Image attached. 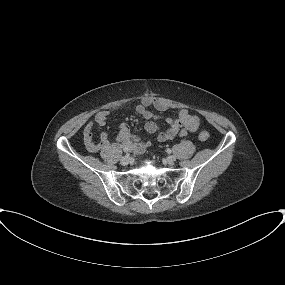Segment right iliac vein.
I'll list each match as a JSON object with an SVG mask.
<instances>
[{
    "mask_svg": "<svg viewBox=\"0 0 285 285\" xmlns=\"http://www.w3.org/2000/svg\"><path fill=\"white\" fill-rule=\"evenodd\" d=\"M130 161H131V158L129 156H124L121 158L120 163L122 165H127L129 164Z\"/></svg>",
    "mask_w": 285,
    "mask_h": 285,
    "instance_id": "right-iliac-vein-1",
    "label": "right iliac vein"
}]
</instances>
